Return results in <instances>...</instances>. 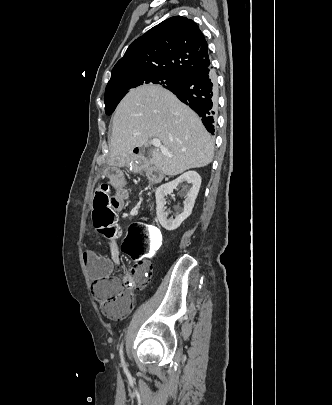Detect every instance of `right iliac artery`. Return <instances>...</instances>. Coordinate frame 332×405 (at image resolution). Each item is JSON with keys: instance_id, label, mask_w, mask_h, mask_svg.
I'll use <instances>...</instances> for the list:
<instances>
[{"instance_id": "1", "label": "right iliac artery", "mask_w": 332, "mask_h": 405, "mask_svg": "<svg viewBox=\"0 0 332 405\" xmlns=\"http://www.w3.org/2000/svg\"><path fill=\"white\" fill-rule=\"evenodd\" d=\"M122 353H123V351H122V345H121V348H120L121 361H122L123 367H125V363H124V360H123V355H122Z\"/></svg>"}]
</instances>
